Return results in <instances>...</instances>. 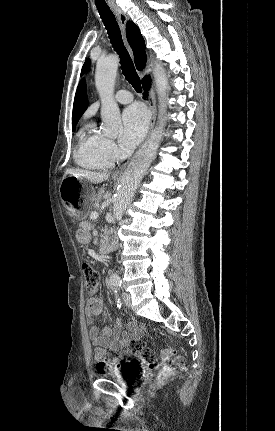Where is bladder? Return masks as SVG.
Wrapping results in <instances>:
<instances>
[{"instance_id":"31cf9c89","label":"bladder","mask_w":275,"mask_h":431,"mask_svg":"<svg viewBox=\"0 0 275 431\" xmlns=\"http://www.w3.org/2000/svg\"><path fill=\"white\" fill-rule=\"evenodd\" d=\"M126 368H116L108 372H102L101 375L104 377H112L124 383L128 382Z\"/></svg>"}]
</instances>
